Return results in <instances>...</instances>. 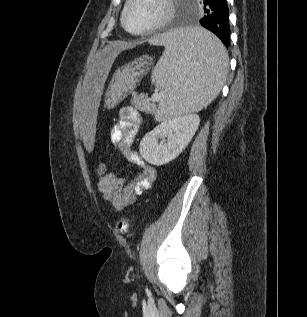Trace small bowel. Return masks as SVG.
<instances>
[{"label": "small bowel", "instance_id": "c3829d8e", "mask_svg": "<svg viewBox=\"0 0 307 317\" xmlns=\"http://www.w3.org/2000/svg\"><path fill=\"white\" fill-rule=\"evenodd\" d=\"M141 123V116L131 106L123 107L119 120L110 129V139L125 159L140 169L130 181L113 172H107L99 178L98 190L113 208L120 212L132 205L137 197L148 190L157 178L156 169L146 163L132 150L134 138Z\"/></svg>", "mask_w": 307, "mask_h": 317}]
</instances>
